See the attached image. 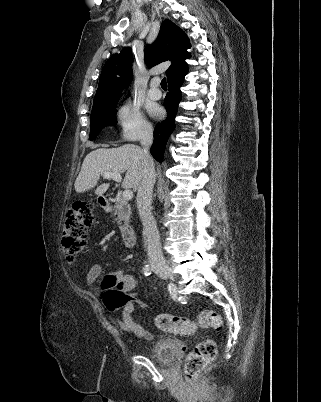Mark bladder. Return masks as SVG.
<instances>
[{
    "instance_id": "bladder-1",
    "label": "bladder",
    "mask_w": 321,
    "mask_h": 402,
    "mask_svg": "<svg viewBox=\"0 0 321 402\" xmlns=\"http://www.w3.org/2000/svg\"><path fill=\"white\" fill-rule=\"evenodd\" d=\"M178 341L167 334H162L148 349V355L161 363L172 362L178 352Z\"/></svg>"
}]
</instances>
